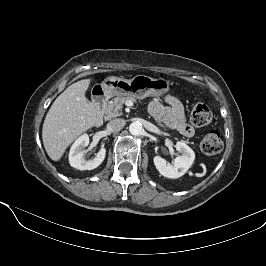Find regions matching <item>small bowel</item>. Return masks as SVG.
Listing matches in <instances>:
<instances>
[{
  "mask_svg": "<svg viewBox=\"0 0 266 266\" xmlns=\"http://www.w3.org/2000/svg\"><path fill=\"white\" fill-rule=\"evenodd\" d=\"M149 113L171 129H176L186 137L194 135V129L188 124L182 102L174 96H166L163 102L154 100L148 105Z\"/></svg>",
  "mask_w": 266,
  "mask_h": 266,
  "instance_id": "1",
  "label": "small bowel"
}]
</instances>
